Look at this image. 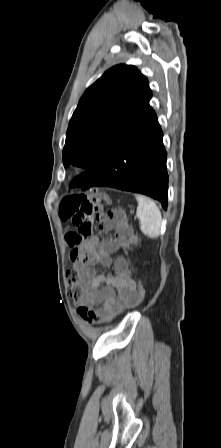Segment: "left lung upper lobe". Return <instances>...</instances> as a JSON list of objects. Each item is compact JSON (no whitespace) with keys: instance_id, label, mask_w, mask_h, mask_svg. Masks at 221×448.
Segmentation results:
<instances>
[{"instance_id":"obj_1","label":"left lung upper lobe","mask_w":221,"mask_h":448,"mask_svg":"<svg viewBox=\"0 0 221 448\" xmlns=\"http://www.w3.org/2000/svg\"><path fill=\"white\" fill-rule=\"evenodd\" d=\"M147 78L131 65L106 71L81 97L66 133L63 164L100 167L152 112Z\"/></svg>"}]
</instances>
